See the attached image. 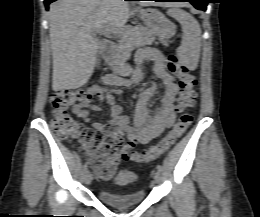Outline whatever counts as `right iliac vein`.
<instances>
[{
    "label": "right iliac vein",
    "instance_id": "obj_1",
    "mask_svg": "<svg viewBox=\"0 0 260 217\" xmlns=\"http://www.w3.org/2000/svg\"><path fill=\"white\" fill-rule=\"evenodd\" d=\"M84 180L87 185H89L92 181V174L90 171L86 170L84 174Z\"/></svg>",
    "mask_w": 260,
    "mask_h": 217
}]
</instances>
